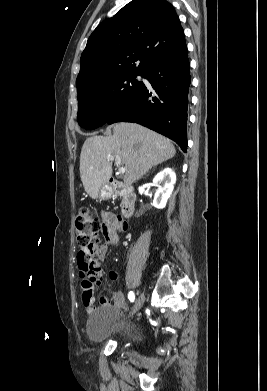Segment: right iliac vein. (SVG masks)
<instances>
[{
	"instance_id": "1",
	"label": "right iliac vein",
	"mask_w": 267,
	"mask_h": 391,
	"mask_svg": "<svg viewBox=\"0 0 267 391\" xmlns=\"http://www.w3.org/2000/svg\"><path fill=\"white\" fill-rule=\"evenodd\" d=\"M144 300H145V295H144V293H141L140 296L135 301V304H134V306L132 308L130 316H133L141 308V306L144 303Z\"/></svg>"
}]
</instances>
